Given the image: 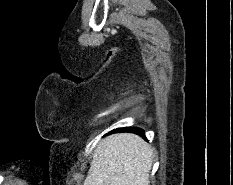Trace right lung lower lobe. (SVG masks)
Wrapping results in <instances>:
<instances>
[{
  "label": "right lung lower lobe",
  "mask_w": 233,
  "mask_h": 185,
  "mask_svg": "<svg viewBox=\"0 0 233 185\" xmlns=\"http://www.w3.org/2000/svg\"><path fill=\"white\" fill-rule=\"evenodd\" d=\"M115 132H133V133H136V134H139V135L145 137L143 130H141L140 128H135V127L116 129Z\"/></svg>",
  "instance_id": "1"
}]
</instances>
